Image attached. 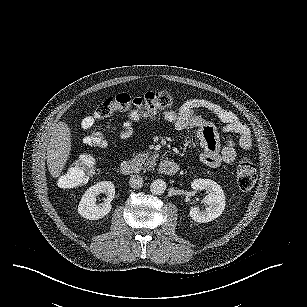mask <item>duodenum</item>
Returning a JSON list of instances; mask_svg holds the SVG:
<instances>
[{
  "instance_id": "1",
  "label": "duodenum",
  "mask_w": 307,
  "mask_h": 307,
  "mask_svg": "<svg viewBox=\"0 0 307 307\" xmlns=\"http://www.w3.org/2000/svg\"><path fill=\"white\" fill-rule=\"evenodd\" d=\"M158 170L161 174L172 176L179 171V165L169 159L160 162ZM120 172L123 175H131L134 172V165L130 160H124L120 164Z\"/></svg>"
}]
</instances>
